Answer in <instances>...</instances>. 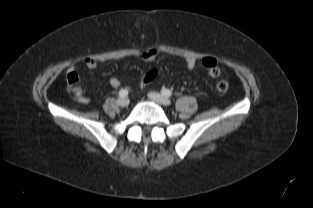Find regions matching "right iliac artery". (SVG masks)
<instances>
[{
    "instance_id": "obj_1",
    "label": "right iliac artery",
    "mask_w": 313,
    "mask_h": 208,
    "mask_svg": "<svg viewBox=\"0 0 313 208\" xmlns=\"http://www.w3.org/2000/svg\"><path fill=\"white\" fill-rule=\"evenodd\" d=\"M128 95V91L126 89H121L119 91V96L120 97H126Z\"/></svg>"
}]
</instances>
